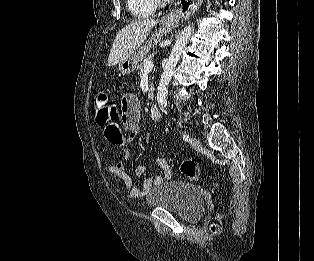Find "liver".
Returning a JSON list of instances; mask_svg holds the SVG:
<instances>
[{
	"label": "liver",
	"instance_id": "liver-1",
	"mask_svg": "<svg viewBox=\"0 0 314 261\" xmlns=\"http://www.w3.org/2000/svg\"><path fill=\"white\" fill-rule=\"evenodd\" d=\"M158 20L145 19L132 22L121 29L112 45L108 57V66L112 67L131 56L146 40L151 28Z\"/></svg>",
	"mask_w": 314,
	"mask_h": 261
}]
</instances>
